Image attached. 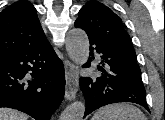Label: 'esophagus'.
<instances>
[{"mask_svg":"<svg viewBox=\"0 0 165 120\" xmlns=\"http://www.w3.org/2000/svg\"><path fill=\"white\" fill-rule=\"evenodd\" d=\"M64 66L66 77L65 98L72 100L75 98L78 90V68L68 60H65Z\"/></svg>","mask_w":165,"mask_h":120,"instance_id":"obj_1","label":"esophagus"}]
</instances>
